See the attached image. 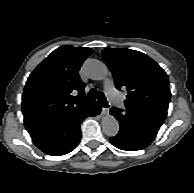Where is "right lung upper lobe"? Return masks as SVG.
<instances>
[{"instance_id":"1","label":"right lung upper lobe","mask_w":194,"mask_h":193,"mask_svg":"<svg viewBox=\"0 0 194 193\" xmlns=\"http://www.w3.org/2000/svg\"><path fill=\"white\" fill-rule=\"evenodd\" d=\"M91 53L90 48L65 45L37 66L22 96L26 128L62 118L90 103L81 99L85 84L78 71Z\"/></svg>"}]
</instances>
